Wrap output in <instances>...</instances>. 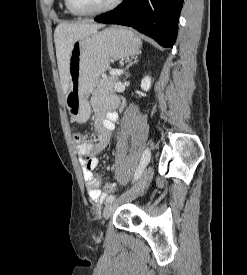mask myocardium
Returning a JSON list of instances; mask_svg holds the SVG:
<instances>
[{"instance_id": "f54148a6", "label": "myocardium", "mask_w": 247, "mask_h": 275, "mask_svg": "<svg viewBox=\"0 0 247 275\" xmlns=\"http://www.w3.org/2000/svg\"><path fill=\"white\" fill-rule=\"evenodd\" d=\"M120 2H121V0H111L107 5L99 8V9H96V10H93V11H81V10H78L77 8H75L72 5L71 0H65V4H66L67 8L73 14L79 15V16H95V15H100V14H103V13H107V12L115 9L119 5Z\"/></svg>"}]
</instances>
